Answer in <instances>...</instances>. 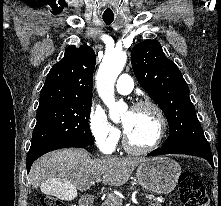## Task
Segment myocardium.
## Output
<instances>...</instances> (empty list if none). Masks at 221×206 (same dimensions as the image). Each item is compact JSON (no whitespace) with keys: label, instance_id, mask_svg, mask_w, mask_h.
<instances>
[{"label":"myocardium","instance_id":"myocardium-1","mask_svg":"<svg viewBox=\"0 0 221 206\" xmlns=\"http://www.w3.org/2000/svg\"><path fill=\"white\" fill-rule=\"evenodd\" d=\"M141 108H149L156 114L157 119H158V132H157L156 138L149 145L144 146V147L134 146L130 142L126 132H124L123 146H124L125 150L132 153V154H136V155L146 154V153H149V152L155 150L161 144V142L165 136L166 128H167V121H166L165 115H164L161 107L157 103H155L154 101L149 100V99H144V100H141V101L135 103L132 106L131 111L138 110Z\"/></svg>","mask_w":221,"mask_h":206}]
</instances>
